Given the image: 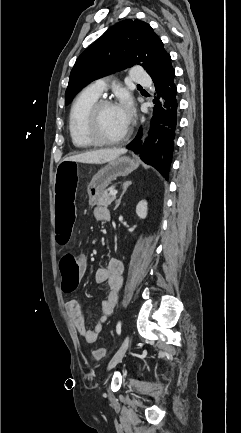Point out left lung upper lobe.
<instances>
[{
    "label": "left lung upper lobe",
    "instance_id": "left-lung-upper-lobe-1",
    "mask_svg": "<svg viewBox=\"0 0 241 433\" xmlns=\"http://www.w3.org/2000/svg\"><path fill=\"white\" fill-rule=\"evenodd\" d=\"M134 64L141 65L154 80L171 66V57L148 23L128 19L110 28L78 57L65 102L91 81Z\"/></svg>",
    "mask_w": 241,
    "mask_h": 433
}]
</instances>
